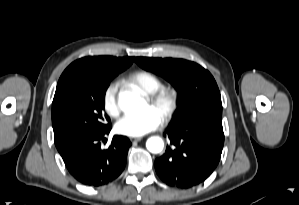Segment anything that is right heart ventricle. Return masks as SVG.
<instances>
[{
    "mask_svg": "<svg viewBox=\"0 0 299 205\" xmlns=\"http://www.w3.org/2000/svg\"><path fill=\"white\" fill-rule=\"evenodd\" d=\"M127 82L146 95L162 86L161 80L149 71L134 72L128 77Z\"/></svg>",
    "mask_w": 299,
    "mask_h": 205,
    "instance_id": "1",
    "label": "right heart ventricle"
}]
</instances>
